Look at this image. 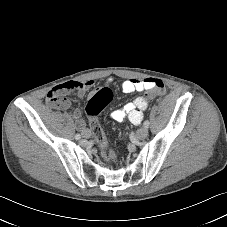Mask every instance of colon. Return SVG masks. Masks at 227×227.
I'll use <instances>...</instances> for the list:
<instances>
[{
	"label": "colon",
	"instance_id": "obj_1",
	"mask_svg": "<svg viewBox=\"0 0 227 227\" xmlns=\"http://www.w3.org/2000/svg\"><path fill=\"white\" fill-rule=\"evenodd\" d=\"M78 84L69 85L70 88H77ZM165 92V85L159 79H152V84L149 89V92L146 94L147 98H154L158 95H161ZM51 98L55 99L58 94L55 91H52L50 94ZM113 93L109 88H102L96 92L89 100L86 110L90 118V126L92 133L96 140L99 142V149L102 151V154L105 159L112 160L115 158V154L111 149V145L107 143L104 132L98 122V115L101 111L112 101Z\"/></svg>",
	"mask_w": 227,
	"mask_h": 227
}]
</instances>
